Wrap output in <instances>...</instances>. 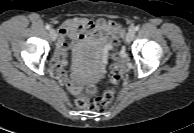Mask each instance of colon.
<instances>
[{"mask_svg":"<svg viewBox=\"0 0 194 133\" xmlns=\"http://www.w3.org/2000/svg\"><path fill=\"white\" fill-rule=\"evenodd\" d=\"M115 42L116 44L118 43L117 40ZM120 59L121 55L118 52H115L112 55V60L114 63L111 67L109 76V81L112 84H117L121 77V69L119 66ZM95 93L96 89L94 87L87 88L84 94H82L77 99V106L83 109L101 111L108 106V104L112 101L114 97V91L112 89H108L98 96H94Z\"/></svg>","mask_w":194,"mask_h":133,"instance_id":"1","label":"colon"}]
</instances>
